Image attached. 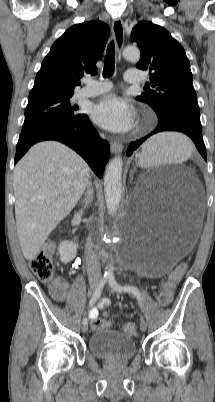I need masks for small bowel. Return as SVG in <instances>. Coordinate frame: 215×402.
Masks as SVG:
<instances>
[{
    "label": "small bowel",
    "instance_id": "c3829d8e",
    "mask_svg": "<svg viewBox=\"0 0 215 402\" xmlns=\"http://www.w3.org/2000/svg\"><path fill=\"white\" fill-rule=\"evenodd\" d=\"M58 284L61 286V288H62L63 291L66 290L67 285H66L65 283H58ZM109 304H110V300L107 299V298H104V299H102V300L98 303V306H97V307H98L99 309H101V308H104V307L108 306ZM89 317H90V319H92L93 321L97 319V317H98V310H97V308H91V309L89 310Z\"/></svg>",
    "mask_w": 215,
    "mask_h": 402
}]
</instances>
